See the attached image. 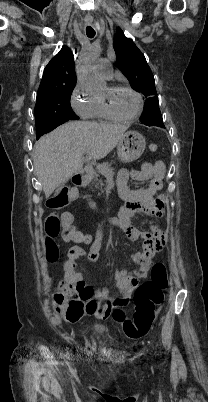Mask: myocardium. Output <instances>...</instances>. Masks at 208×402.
I'll return each mask as SVG.
<instances>
[{
  "instance_id": "1",
  "label": "myocardium",
  "mask_w": 208,
  "mask_h": 402,
  "mask_svg": "<svg viewBox=\"0 0 208 402\" xmlns=\"http://www.w3.org/2000/svg\"><path fill=\"white\" fill-rule=\"evenodd\" d=\"M120 89L127 90V91L133 93L137 97V99H138V108H137V111L133 115L123 116V115H120L119 113H117L114 110L111 98H112V95L114 94V92L117 91V90H120ZM99 97H100V100L102 101V103L104 104L106 110L108 111V113L118 121H131V120H134V119L138 118L141 115V113L143 111V108H144V99H143L142 94L140 92H138L137 90H135L132 87L127 86V85H116V86H110V87L105 86L104 92L99 94Z\"/></svg>"
}]
</instances>
